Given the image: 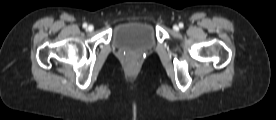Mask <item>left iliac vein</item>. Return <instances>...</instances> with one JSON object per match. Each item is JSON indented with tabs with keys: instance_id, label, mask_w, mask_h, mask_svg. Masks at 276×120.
<instances>
[{
	"instance_id": "4c4485c4",
	"label": "left iliac vein",
	"mask_w": 276,
	"mask_h": 120,
	"mask_svg": "<svg viewBox=\"0 0 276 120\" xmlns=\"http://www.w3.org/2000/svg\"><path fill=\"white\" fill-rule=\"evenodd\" d=\"M173 29L178 31L179 27L177 25L173 26Z\"/></svg>"
}]
</instances>
